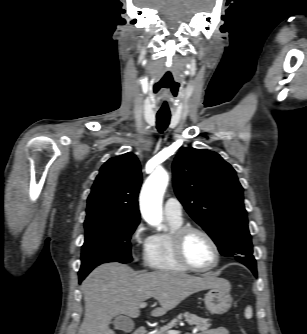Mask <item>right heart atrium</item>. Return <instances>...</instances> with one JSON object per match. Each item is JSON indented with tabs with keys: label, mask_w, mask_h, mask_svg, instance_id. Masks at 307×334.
Listing matches in <instances>:
<instances>
[{
	"label": "right heart atrium",
	"mask_w": 307,
	"mask_h": 334,
	"mask_svg": "<svg viewBox=\"0 0 307 334\" xmlns=\"http://www.w3.org/2000/svg\"><path fill=\"white\" fill-rule=\"evenodd\" d=\"M130 240L137 251L145 253L150 236L147 235L145 225L142 221H139L134 226L130 235Z\"/></svg>",
	"instance_id": "right-heart-atrium-1"
}]
</instances>
